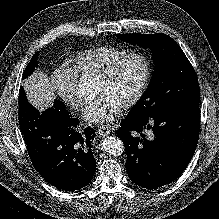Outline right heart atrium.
Listing matches in <instances>:
<instances>
[{
    "instance_id": "obj_1",
    "label": "right heart atrium",
    "mask_w": 219,
    "mask_h": 219,
    "mask_svg": "<svg viewBox=\"0 0 219 219\" xmlns=\"http://www.w3.org/2000/svg\"><path fill=\"white\" fill-rule=\"evenodd\" d=\"M51 86L59 98L75 111H82L85 100L77 90L76 73L70 69L61 67L56 70L51 78Z\"/></svg>"
}]
</instances>
